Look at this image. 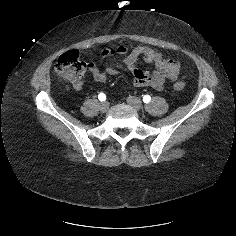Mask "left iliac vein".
Listing matches in <instances>:
<instances>
[{
  "mask_svg": "<svg viewBox=\"0 0 236 236\" xmlns=\"http://www.w3.org/2000/svg\"><path fill=\"white\" fill-rule=\"evenodd\" d=\"M127 103L137 111L142 108V102L137 97L129 96L127 98Z\"/></svg>",
  "mask_w": 236,
  "mask_h": 236,
  "instance_id": "4c4485c4",
  "label": "left iliac vein"
}]
</instances>
